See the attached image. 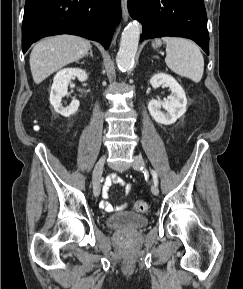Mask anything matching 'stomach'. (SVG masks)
I'll return each instance as SVG.
<instances>
[{
	"instance_id": "stomach-1",
	"label": "stomach",
	"mask_w": 243,
	"mask_h": 289,
	"mask_svg": "<svg viewBox=\"0 0 243 289\" xmlns=\"http://www.w3.org/2000/svg\"><path fill=\"white\" fill-rule=\"evenodd\" d=\"M161 45V41L156 39L154 42H153V46L154 47H159Z\"/></svg>"
}]
</instances>
